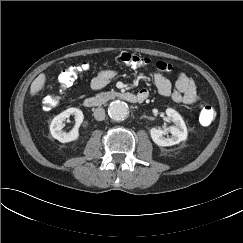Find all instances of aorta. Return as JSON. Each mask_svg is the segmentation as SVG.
I'll list each match as a JSON object with an SVG mask.
<instances>
[{
  "instance_id": "aorta-1",
  "label": "aorta",
  "mask_w": 243,
  "mask_h": 243,
  "mask_svg": "<svg viewBox=\"0 0 243 243\" xmlns=\"http://www.w3.org/2000/svg\"><path fill=\"white\" fill-rule=\"evenodd\" d=\"M128 105L122 100H114L108 107V114L115 121H122L128 115Z\"/></svg>"
}]
</instances>
